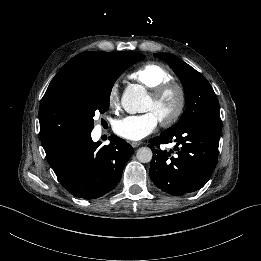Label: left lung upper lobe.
<instances>
[{
  "mask_svg": "<svg viewBox=\"0 0 261 261\" xmlns=\"http://www.w3.org/2000/svg\"><path fill=\"white\" fill-rule=\"evenodd\" d=\"M154 56L167 62L180 79L187 106L178 123L166 129L164 133L179 132L198 121L220 123L219 102L207 79L175 55L155 53Z\"/></svg>",
  "mask_w": 261,
  "mask_h": 261,
  "instance_id": "1",
  "label": "left lung upper lobe"
}]
</instances>
